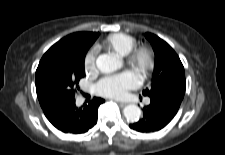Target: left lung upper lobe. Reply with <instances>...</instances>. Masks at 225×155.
<instances>
[{"label": "left lung upper lobe", "mask_w": 225, "mask_h": 155, "mask_svg": "<svg viewBox=\"0 0 225 155\" xmlns=\"http://www.w3.org/2000/svg\"><path fill=\"white\" fill-rule=\"evenodd\" d=\"M155 53L151 87L143 91L150 98L183 99L186 89L184 67L172 47L158 36L146 33Z\"/></svg>", "instance_id": "left-lung-upper-lobe-1"}]
</instances>
